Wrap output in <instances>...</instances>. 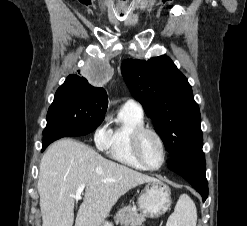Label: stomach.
Instances as JSON below:
<instances>
[{"label":"stomach","mask_w":247,"mask_h":226,"mask_svg":"<svg viewBox=\"0 0 247 226\" xmlns=\"http://www.w3.org/2000/svg\"><path fill=\"white\" fill-rule=\"evenodd\" d=\"M137 204L143 217L158 218L171 206L170 188L158 179L149 181L139 196ZM101 226H110V224Z\"/></svg>","instance_id":"obj_1"}]
</instances>
